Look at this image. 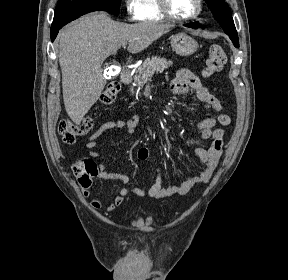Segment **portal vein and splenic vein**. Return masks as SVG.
Segmentation results:
<instances>
[{
  "label": "portal vein and splenic vein",
  "mask_w": 288,
  "mask_h": 280,
  "mask_svg": "<svg viewBox=\"0 0 288 280\" xmlns=\"http://www.w3.org/2000/svg\"><path fill=\"white\" fill-rule=\"evenodd\" d=\"M126 45H127V42H124L123 44H122V46L125 48L126 47Z\"/></svg>",
  "instance_id": "1"
}]
</instances>
